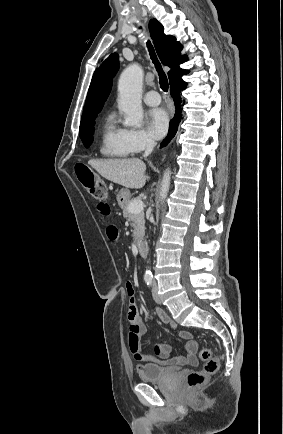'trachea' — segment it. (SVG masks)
<instances>
[{"instance_id":"1","label":"trachea","mask_w":283,"mask_h":434,"mask_svg":"<svg viewBox=\"0 0 283 434\" xmlns=\"http://www.w3.org/2000/svg\"><path fill=\"white\" fill-rule=\"evenodd\" d=\"M147 47H148V51H149L150 57L152 59V62L154 63L155 68H156V70L158 72V75H159V84H160V87H161V89L164 92H167L168 91V87H169V85H168V79H167V76H166L165 72L162 69V66H161L160 62L157 59L154 47L152 46V44H151L150 41H147Z\"/></svg>"}]
</instances>
